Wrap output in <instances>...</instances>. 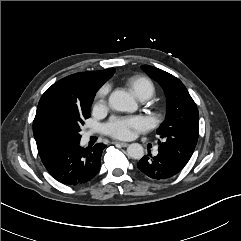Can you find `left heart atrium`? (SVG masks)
Here are the masks:
<instances>
[{"label": "left heart atrium", "instance_id": "1", "mask_svg": "<svg viewBox=\"0 0 241 241\" xmlns=\"http://www.w3.org/2000/svg\"><path fill=\"white\" fill-rule=\"evenodd\" d=\"M147 122L143 117H114L105 126L106 132L117 139L127 140L133 137L135 131L144 130Z\"/></svg>", "mask_w": 241, "mask_h": 241}]
</instances>
